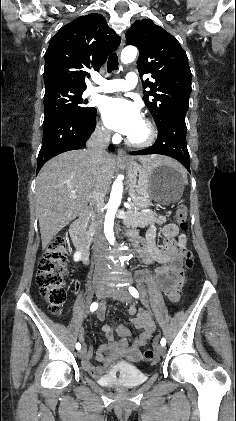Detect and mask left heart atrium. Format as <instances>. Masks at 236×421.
<instances>
[{
    "label": "left heart atrium",
    "instance_id": "1",
    "mask_svg": "<svg viewBox=\"0 0 236 421\" xmlns=\"http://www.w3.org/2000/svg\"><path fill=\"white\" fill-rule=\"evenodd\" d=\"M101 109L108 125L113 130L127 136H130L143 121L139 109L124 98H107L103 101Z\"/></svg>",
    "mask_w": 236,
    "mask_h": 421
}]
</instances>
